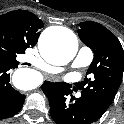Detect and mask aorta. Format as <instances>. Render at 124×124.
Listing matches in <instances>:
<instances>
[{
  "instance_id": "762f6f07",
  "label": "aorta",
  "mask_w": 124,
  "mask_h": 124,
  "mask_svg": "<svg viewBox=\"0 0 124 124\" xmlns=\"http://www.w3.org/2000/svg\"><path fill=\"white\" fill-rule=\"evenodd\" d=\"M39 50L43 58L53 65L69 63L76 55L78 41L74 33L68 29L54 31L46 30L40 37ZM31 72L27 69H19L13 75L15 85L21 89H32L30 82Z\"/></svg>"
}]
</instances>
